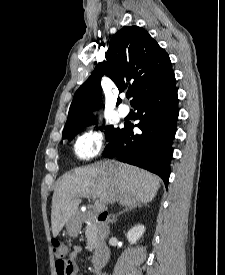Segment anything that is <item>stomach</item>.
<instances>
[{"label":"stomach","instance_id":"1","mask_svg":"<svg viewBox=\"0 0 225 275\" xmlns=\"http://www.w3.org/2000/svg\"><path fill=\"white\" fill-rule=\"evenodd\" d=\"M80 224L73 217L67 222V231L70 236H76L79 232Z\"/></svg>","mask_w":225,"mask_h":275}]
</instances>
